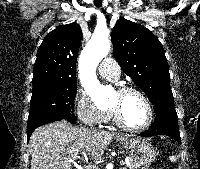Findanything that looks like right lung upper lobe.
Here are the masks:
<instances>
[{"mask_svg":"<svg viewBox=\"0 0 200 169\" xmlns=\"http://www.w3.org/2000/svg\"><path fill=\"white\" fill-rule=\"evenodd\" d=\"M81 40L82 31L77 23L59 26L44 38L34 65L33 89L77 81L76 61Z\"/></svg>","mask_w":200,"mask_h":169,"instance_id":"obj_1","label":"right lung upper lobe"}]
</instances>
